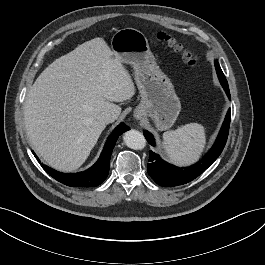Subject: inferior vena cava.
I'll use <instances>...</instances> for the list:
<instances>
[{"label":"inferior vena cava","mask_w":265,"mask_h":265,"mask_svg":"<svg viewBox=\"0 0 265 265\" xmlns=\"http://www.w3.org/2000/svg\"><path fill=\"white\" fill-rule=\"evenodd\" d=\"M98 121L104 123V124H108L111 122H114L116 119V116L111 114L110 112H102L98 117H97Z\"/></svg>","instance_id":"1"}]
</instances>
